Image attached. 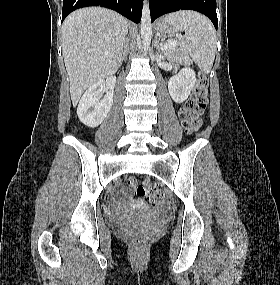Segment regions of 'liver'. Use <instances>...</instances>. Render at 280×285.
Segmentation results:
<instances>
[{
  "mask_svg": "<svg viewBox=\"0 0 280 285\" xmlns=\"http://www.w3.org/2000/svg\"><path fill=\"white\" fill-rule=\"evenodd\" d=\"M127 20L100 7L74 11L62 26V51L76 106L84 91L119 69L128 33Z\"/></svg>",
  "mask_w": 280,
  "mask_h": 285,
  "instance_id": "liver-1",
  "label": "liver"
}]
</instances>
